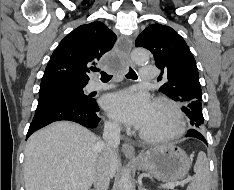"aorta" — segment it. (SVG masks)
<instances>
[{
    "instance_id": "obj_1",
    "label": "aorta",
    "mask_w": 234,
    "mask_h": 190,
    "mask_svg": "<svg viewBox=\"0 0 234 190\" xmlns=\"http://www.w3.org/2000/svg\"><path fill=\"white\" fill-rule=\"evenodd\" d=\"M131 57L136 64H145L149 60V52L145 49L137 48L132 51ZM119 190H133L130 171L124 169L119 180Z\"/></svg>"
}]
</instances>
